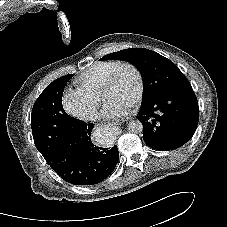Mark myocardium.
<instances>
[{"label":"myocardium","instance_id":"1","mask_svg":"<svg viewBox=\"0 0 227 227\" xmlns=\"http://www.w3.org/2000/svg\"><path fill=\"white\" fill-rule=\"evenodd\" d=\"M125 69H130L132 70L135 75H136V79H137V90H136V94L134 96V99L132 101V105H137L141 99L143 98L144 92H145V79H144V75L142 73V71L140 70V68L135 65L134 63L131 62H122L120 63L113 71L112 73L108 76V78L106 79V81L104 82L102 88H101V95L108 89H110L111 87L114 86V84L116 83L117 79L119 78L120 74L122 73V71H124Z\"/></svg>","mask_w":227,"mask_h":227}]
</instances>
